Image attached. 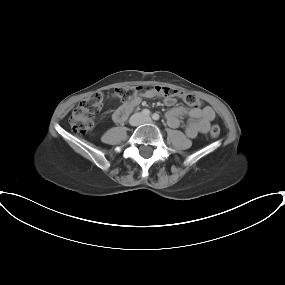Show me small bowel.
Segmentation results:
<instances>
[{
  "mask_svg": "<svg viewBox=\"0 0 285 285\" xmlns=\"http://www.w3.org/2000/svg\"><path fill=\"white\" fill-rule=\"evenodd\" d=\"M154 93L140 92L128 102L124 103L120 108L126 104H131L132 108L138 106L144 97H152ZM164 103L167 106L172 107L166 114L167 123L172 128H177L180 125V118L188 116L190 118L189 123L185 128V133L189 138H195L199 133H205L210 127V123L215 119V112L209 106L197 107L188 109L186 107H175L176 98L166 97ZM118 108L114 114L116 117Z\"/></svg>",
  "mask_w": 285,
  "mask_h": 285,
  "instance_id": "small-bowel-1",
  "label": "small bowel"
}]
</instances>
